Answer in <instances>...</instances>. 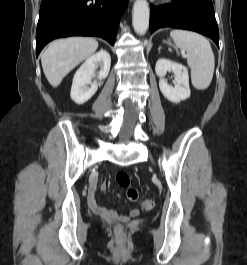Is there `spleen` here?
Segmentation results:
<instances>
[{"label": "spleen", "mask_w": 247, "mask_h": 265, "mask_svg": "<svg viewBox=\"0 0 247 265\" xmlns=\"http://www.w3.org/2000/svg\"><path fill=\"white\" fill-rule=\"evenodd\" d=\"M176 50L187 53V63L191 69V81L197 90L209 87L214 73L215 59L209 41L202 35L185 30L170 32ZM178 53V51H177Z\"/></svg>", "instance_id": "1"}]
</instances>
